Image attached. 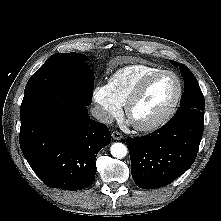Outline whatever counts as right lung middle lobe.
Wrapping results in <instances>:
<instances>
[{"mask_svg": "<svg viewBox=\"0 0 221 221\" xmlns=\"http://www.w3.org/2000/svg\"><path fill=\"white\" fill-rule=\"evenodd\" d=\"M86 57L74 52L50 56L29 79L20 107V115L41 100L66 96L89 105L92 101L94 73Z\"/></svg>", "mask_w": 221, "mask_h": 221, "instance_id": "obj_1", "label": "right lung middle lobe"}]
</instances>
